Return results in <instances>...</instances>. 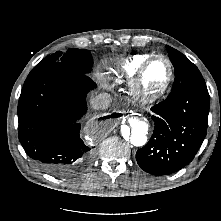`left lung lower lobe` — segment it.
Returning <instances> with one entry per match:
<instances>
[{"instance_id": "left-lung-lower-lobe-1", "label": "left lung lower lobe", "mask_w": 221, "mask_h": 221, "mask_svg": "<svg viewBox=\"0 0 221 221\" xmlns=\"http://www.w3.org/2000/svg\"><path fill=\"white\" fill-rule=\"evenodd\" d=\"M155 122L149 142L136 153L139 166L153 175L174 173L188 165L207 133V87L192 88L151 108Z\"/></svg>"}]
</instances>
